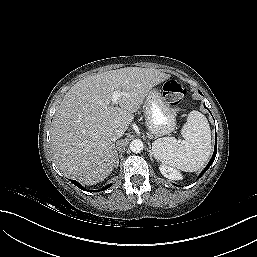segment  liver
Listing matches in <instances>:
<instances>
[{
  "label": "liver",
  "mask_w": 257,
  "mask_h": 257,
  "mask_svg": "<svg viewBox=\"0 0 257 257\" xmlns=\"http://www.w3.org/2000/svg\"><path fill=\"white\" fill-rule=\"evenodd\" d=\"M170 75L126 67L86 77L64 96L53 121L54 156L65 176L94 185L116 166L115 130L124 132L152 88ZM114 91L122 93L116 106Z\"/></svg>",
  "instance_id": "liver-1"
}]
</instances>
